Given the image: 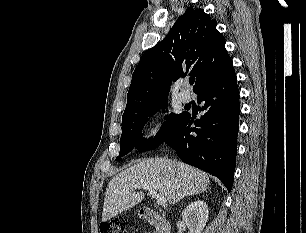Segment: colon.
<instances>
[{
  "label": "colon",
  "mask_w": 306,
  "mask_h": 233,
  "mask_svg": "<svg viewBox=\"0 0 306 233\" xmlns=\"http://www.w3.org/2000/svg\"><path fill=\"white\" fill-rule=\"evenodd\" d=\"M125 221L117 218L109 222L103 223L100 226L101 233H124Z\"/></svg>",
  "instance_id": "obj_1"
}]
</instances>
